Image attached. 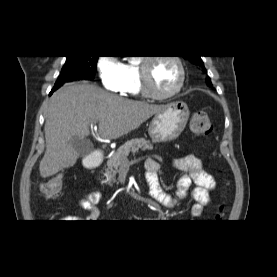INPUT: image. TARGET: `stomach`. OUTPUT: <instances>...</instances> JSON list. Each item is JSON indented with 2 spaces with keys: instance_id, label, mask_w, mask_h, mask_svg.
<instances>
[{
  "instance_id": "stomach-1",
  "label": "stomach",
  "mask_w": 277,
  "mask_h": 277,
  "mask_svg": "<svg viewBox=\"0 0 277 277\" xmlns=\"http://www.w3.org/2000/svg\"><path fill=\"white\" fill-rule=\"evenodd\" d=\"M186 103L177 101L163 105V109L152 118L148 133L153 142H168L177 139L189 119Z\"/></svg>"
}]
</instances>
